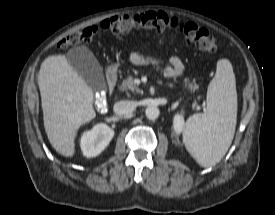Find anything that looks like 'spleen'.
Wrapping results in <instances>:
<instances>
[{
	"label": "spleen",
	"mask_w": 275,
	"mask_h": 215,
	"mask_svg": "<svg viewBox=\"0 0 275 215\" xmlns=\"http://www.w3.org/2000/svg\"><path fill=\"white\" fill-rule=\"evenodd\" d=\"M207 110L188 118L183 132L186 149L202 167L217 164L228 151L237 121V92L229 60L220 59L207 90Z\"/></svg>",
	"instance_id": "1"
}]
</instances>
